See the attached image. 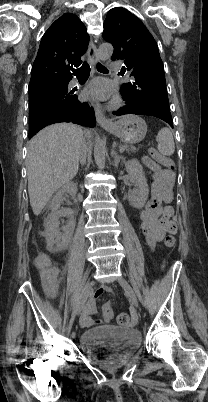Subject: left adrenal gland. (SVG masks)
Here are the masks:
<instances>
[{
  "mask_svg": "<svg viewBox=\"0 0 208 402\" xmlns=\"http://www.w3.org/2000/svg\"><path fill=\"white\" fill-rule=\"evenodd\" d=\"M115 148V146H114ZM112 154V158H114V166L115 168H118V164L120 162V160H124L123 156H118L117 152H115V150H112L111 152Z\"/></svg>",
  "mask_w": 208,
  "mask_h": 402,
  "instance_id": "left-adrenal-gland-1",
  "label": "left adrenal gland"
}]
</instances>
